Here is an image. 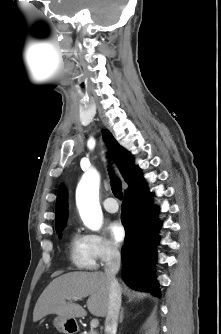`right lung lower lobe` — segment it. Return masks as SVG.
<instances>
[{"mask_svg": "<svg viewBox=\"0 0 221 334\" xmlns=\"http://www.w3.org/2000/svg\"><path fill=\"white\" fill-rule=\"evenodd\" d=\"M121 221L126 237L121 251L122 278L125 283L139 291H149L159 296L157 280L154 279L156 261L155 246L158 244V208L150 202L146 182L143 180L125 192Z\"/></svg>", "mask_w": 221, "mask_h": 334, "instance_id": "obj_1", "label": "right lung lower lobe"}]
</instances>
